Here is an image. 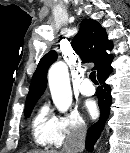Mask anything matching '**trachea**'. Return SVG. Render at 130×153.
Instances as JSON below:
<instances>
[{
	"label": "trachea",
	"instance_id": "1",
	"mask_svg": "<svg viewBox=\"0 0 130 153\" xmlns=\"http://www.w3.org/2000/svg\"><path fill=\"white\" fill-rule=\"evenodd\" d=\"M91 81L94 83V84H98V81L96 79V74H95V71H92L89 75Z\"/></svg>",
	"mask_w": 130,
	"mask_h": 153
}]
</instances>
